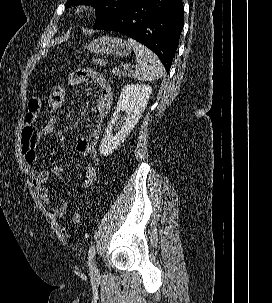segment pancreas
Masks as SVG:
<instances>
[{
    "instance_id": "obj_1",
    "label": "pancreas",
    "mask_w": 272,
    "mask_h": 303,
    "mask_svg": "<svg viewBox=\"0 0 272 303\" xmlns=\"http://www.w3.org/2000/svg\"><path fill=\"white\" fill-rule=\"evenodd\" d=\"M113 73H114L115 75H119V76L121 75V72H120L118 69H113ZM122 75L131 77V73H127V72H125V71L122 72Z\"/></svg>"
}]
</instances>
